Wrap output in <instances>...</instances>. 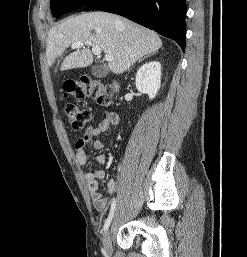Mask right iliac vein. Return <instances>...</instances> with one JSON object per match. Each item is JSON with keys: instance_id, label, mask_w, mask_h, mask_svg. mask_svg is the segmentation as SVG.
Returning a JSON list of instances; mask_svg holds the SVG:
<instances>
[{"instance_id": "63e3f726", "label": "right iliac vein", "mask_w": 247, "mask_h": 257, "mask_svg": "<svg viewBox=\"0 0 247 257\" xmlns=\"http://www.w3.org/2000/svg\"><path fill=\"white\" fill-rule=\"evenodd\" d=\"M103 252L106 257H111L112 254V242L111 233L107 230L103 236Z\"/></svg>"}]
</instances>
